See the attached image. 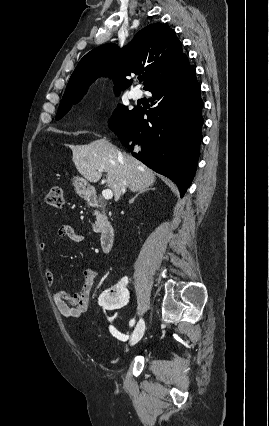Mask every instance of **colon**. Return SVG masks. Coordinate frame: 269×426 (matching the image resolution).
I'll list each match as a JSON object with an SVG mask.
<instances>
[{"mask_svg":"<svg viewBox=\"0 0 269 426\" xmlns=\"http://www.w3.org/2000/svg\"><path fill=\"white\" fill-rule=\"evenodd\" d=\"M48 206L56 209L63 207V189L61 186H53L46 195Z\"/></svg>","mask_w":269,"mask_h":426,"instance_id":"1","label":"colon"}]
</instances>
